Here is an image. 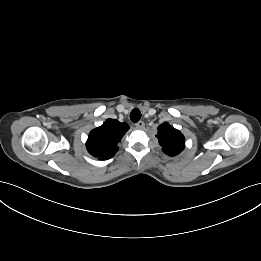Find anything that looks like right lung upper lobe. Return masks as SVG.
I'll return each mask as SVG.
<instances>
[{
	"mask_svg": "<svg viewBox=\"0 0 261 261\" xmlns=\"http://www.w3.org/2000/svg\"><path fill=\"white\" fill-rule=\"evenodd\" d=\"M129 125L115 119H107L100 127L92 130L86 147L88 152L101 160L112 158L118 151L117 144L128 131Z\"/></svg>",
	"mask_w": 261,
	"mask_h": 261,
	"instance_id": "right-lung-upper-lobe-1",
	"label": "right lung upper lobe"
}]
</instances>
